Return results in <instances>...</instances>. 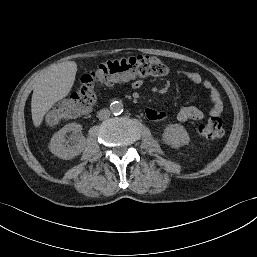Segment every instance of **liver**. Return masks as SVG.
I'll return each mask as SVG.
<instances>
[{"label":"liver","mask_w":257,"mask_h":257,"mask_svg":"<svg viewBox=\"0 0 257 257\" xmlns=\"http://www.w3.org/2000/svg\"><path fill=\"white\" fill-rule=\"evenodd\" d=\"M77 72L74 61L53 65L36 84L31 101L32 120L39 127L45 114L71 91Z\"/></svg>","instance_id":"1"}]
</instances>
